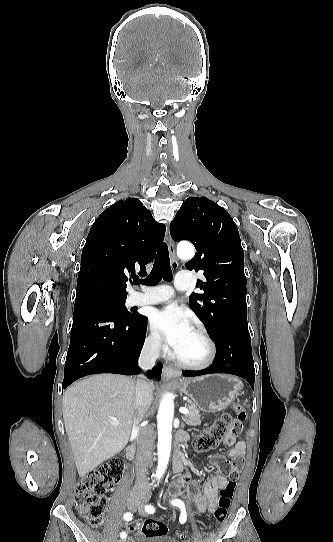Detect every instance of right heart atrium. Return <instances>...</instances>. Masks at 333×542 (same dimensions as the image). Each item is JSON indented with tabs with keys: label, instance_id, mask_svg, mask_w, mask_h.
Segmentation results:
<instances>
[{
	"label": "right heart atrium",
	"instance_id": "right-heart-atrium-1",
	"mask_svg": "<svg viewBox=\"0 0 333 542\" xmlns=\"http://www.w3.org/2000/svg\"><path fill=\"white\" fill-rule=\"evenodd\" d=\"M145 348L153 356L165 354V345L152 325L149 326L145 337Z\"/></svg>",
	"mask_w": 333,
	"mask_h": 542
}]
</instances>
